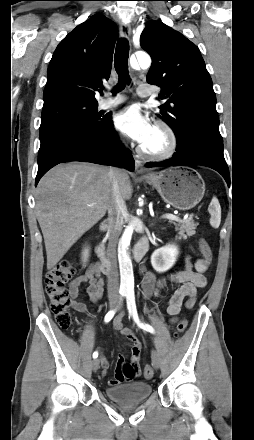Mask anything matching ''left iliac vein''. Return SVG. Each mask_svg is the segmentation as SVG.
I'll list each match as a JSON object with an SVG mask.
<instances>
[{
  "label": "left iliac vein",
  "instance_id": "left-iliac-vein-1",
  "mask_svg": "<svg viewBox=\"0 0 254 440\" xmlns=\"http://www.w3.org/2000/svg\"><path fill=\"white\" fill-rule=\"evenodd\" d=\"M151 357H152V365L156 369H158L160 367V364H161V359H160L159 353L157 351L153 350Z\"/></svg>",
  "mask_w": 254,
  "mask_h": 440
}]
</instances>
